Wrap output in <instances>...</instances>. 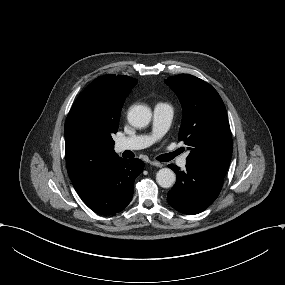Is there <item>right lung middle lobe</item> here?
<instances>
[{"label":"right lung middle lobe","instance_id":"1","mask_svg":"<svg viewBox=\"0 0 285 285\" xmlns=\"http://www.w3.org/2000/svg\"><path fill=\"white\" fill-rule=\"evenodd\" d=\"M109 133H116L118 131V124L112 125L108 128ZM65 136H73L76 138H88L94 135L93 131L83 129L79 127L76 120L72 116H67L66 123H65Z\"/></svg>","mask_w":285,"mask_h":285}]
</instances>
